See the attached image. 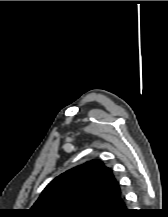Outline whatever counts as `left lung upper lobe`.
<instances>
[{
    "label": "left lung upper lobe",
    "instance_id": "5c2ea615",
    "mask_svg": "<svg viewBox=\"0 0 168 217\" xmlns=\"http://www.w3.org/2000/svg\"><path fill=\"white\" fill-rule=\"evenodd\" d=\"M120 194L112 170L93 160L52 180L30 213L34 217H99Z\"/></svg>",
    "mask_w": 168,
    "mask_h": 217
}]
</instances>
